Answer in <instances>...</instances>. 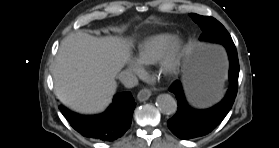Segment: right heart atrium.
<instances>
[{
    "mask_svg": "<svg viewBox=\"0 0 279 148\" xmlns=\"http://www.w3.org/2000/svg\"><path fill=\"white\" fill-rule=\"evenodd\" d=\"M129 68L132 72H134L135 74H138V75L143 72V68H142L141 64L137 61L130 62Z\"/></svg>",
    "mask_w": 279,
    "mask_h": 148,
    "instance_id": "1",
    "label": "right heart atrium"
}]
</instances>
